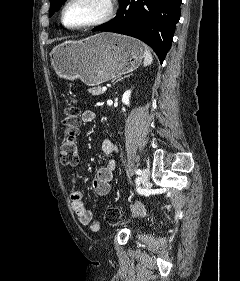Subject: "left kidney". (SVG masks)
Masks as SVG:
<instances>
[{
	"label": "left kidney",
	"mask_w": 240,
	"mask_h": 281,
	"mask_svg": "<svg viewBox=\"0 0 240 281\" xmlns=\"http://www.w3.org/2000/svg\"><path fill=\"white\" fill-rule=\"evenodd\" d=\"M130 96H131V91L127 90L122 96V103L129 106L130 105Z\"/></svg>",
	"instance_id": "left-kidney-1"
}]
</instances>
